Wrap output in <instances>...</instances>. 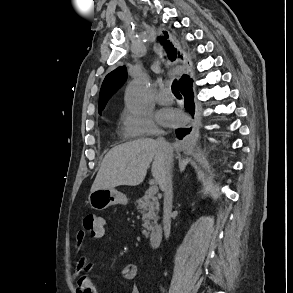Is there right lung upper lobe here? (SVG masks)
Wrapping results in <instances>:
<instances>
[{"mask_svg":"<svg viewBox=\"0 0 293 293\" xmlns=\"http://www.w3.org/2000/svg\"><path fill=\"white\" fill-rule=\"evenodd\" d=\"M158 40L163 44L166 48V51L169 55V59L175 60L177 57V49L173 46V44L168 40L167 32H164V35L159 36ZM179 57H181L179 55ZM127 78L126 67H119L109 73L102 84L99 96V113L104 109L108 99L112 96V94L123 84V82ZM188 75H183L180 79V85H182L186 80H189Z\"/></svg>","mask_w":293,"mask_h":293,"instance_id":"1","label":"right lung upper lobe"}]
</instances>
